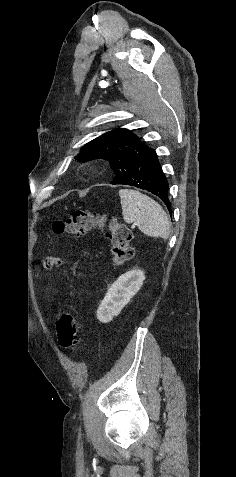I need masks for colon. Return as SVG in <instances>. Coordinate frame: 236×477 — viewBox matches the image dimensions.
Masks as SVG:
<instances>
[{
  "instance_id": "obj_1",
  "label": "colon",
  "mask_w": 236,
  "mask_h": 477,
  "mask_svg": "<svg viewBox=\"0 0 236 477\" xmlns=\"http://www.w3.org/2000/svg\"><path fill=\"white\" fill-rule=\"evenodd\" d=\"M105 225L106 219L103 214L77 209L65 219L54 221L51 229L57 235L81 237L93 230L102 229ZM107 227L112 243L113 262L119 265L130 260L134 255L131 246V230L116 220H111ZM56 333L61 347L74 349L78 345V318L72 311H66L60 316L56 325Z\"/></svg>"
}]
</instances>
